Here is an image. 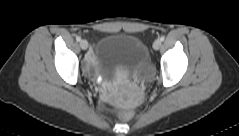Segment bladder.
I'll list each match as a JSON object with an SVG mask.
<instances>
[{
    "label": "bladder",
    "instance_id": "31cf9c89",
    "mask_svg": "<svg viewBox=\"0 0 239 136\" xmlns=\"http://www.w3.org/2000/svg\"><path fill=\"white\" fill-rule=\"evenodd\" d=\"M94 63L97 72L110 79H116L120 74L132 78L149 64V52L135 35L107 34L97 47Z\"/></svg>",
    "mask_w": 239,
    "mask_h": 136
}]
</instances>
